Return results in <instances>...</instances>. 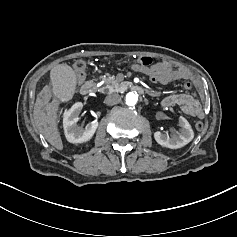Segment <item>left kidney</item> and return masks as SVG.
Here are the masks:
<instances>
[{
  "mask_svg": "<svg viewBox=\"0 0 237 237\" xmlns=\"http://www.w3.org/2000/svg\"><path fill=\"white\" fill-rule=\"evenodd\" d=\"M180 132L171 136L160 131L154 133V138L158 144L170 149H178L188 144L194 138V132L189 122L182 116L179 117Z\"/></svg>",
  "mask_w": 237,
  "mask_h": 237,
  "instance_id": "left-kidney-1",
  "label": "left kidney"
}]
</instances>
